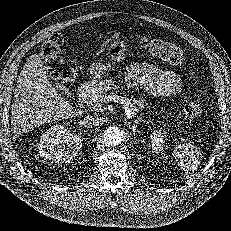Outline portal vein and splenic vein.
<instances>
[{
	"mask_svg": "<svg viewBox=\"0 0 231 231\" xmlns=\"http://www.w3.org/2000/svg\"><path fill=\"white\" fill-rule=\"evenodd\" d=\"M107 98L109 101H114L119 104H122L125 109L126 115L129 119H131L135 115L134 111L131 109L132 103L130 101L125 100L123 97L118 95H109Z\"/></svg>",
	"mask_w": 231,
	"mask_h": 231,
	"instance_id": "1",
	"label": "portal vein and splenic vein"
}]
</instances>
